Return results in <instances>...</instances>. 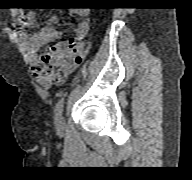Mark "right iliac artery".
Wrapping results in <instances>:
<instances>
[{
  "mask_svg": "<svg viewBox=\"0 0 192 180\" xmlns=\"http://www.w3.org/2000/svg\"><path fill=\"white\" fill-rule=\"evenodd\" d=\"M63 107H64V98H61V99L57 102L56 107H55V116H56V119H57V117L62 113Z\"/></svg>",
  "mask_w": 192,
  "mask_h": 180,
  "instance_id": "1",
  "label": "right iliac artery"
}]
</instances>
